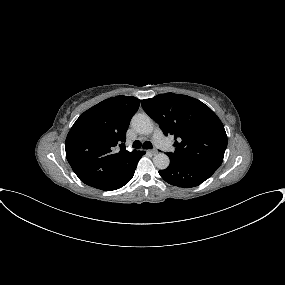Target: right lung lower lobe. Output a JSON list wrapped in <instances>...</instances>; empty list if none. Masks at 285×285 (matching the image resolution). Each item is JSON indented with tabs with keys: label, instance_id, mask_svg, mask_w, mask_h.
<instances>
[{
	"label": "right lung lower lobe",
	"instance_id": "obj_1",
	"mask_svg": "<svg viewBox=\"0 0 285 285\" xmlns=\"http://www.w3.org/2000/svg\"><path fill=\"white\" fill-rule=\"evenodd\" d=\"M143 154H144V152L140 151L138 161L142 157ZM138 161H137V163H138ZM137 163L133 166V168L130 170V172L125 177H123V178H121L115 182H112V183H109V184H106V185H103V186H100L97 188L100 190H104V191H112V190H116V189L123 187L125 184H127L132 179L134 172H135V169L137 167Z\"/></svg>",
	"mask_w": 285,
	"mask_h": 285
}]
</instances>
